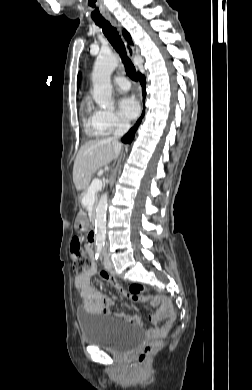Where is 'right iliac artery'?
Masks as SVG:
<instances>
[{
    "instance_id": "1",
    "label": "right iliac artery",
    "mask_w": 252,
    "mask_h": 390,
    "mask_svg": "<svg viewBox=\"0 0 252 390\" xmlns=\"http://www.w3.org/2000/svg\"><path fill=\"white\" fill-rule=\"evenodd\" d=\"M103 246H104V245H102V244H99V245L97 246V252H96V254H95V258H96V259L99 258Z\"/></svg>"
}]
</instances>
